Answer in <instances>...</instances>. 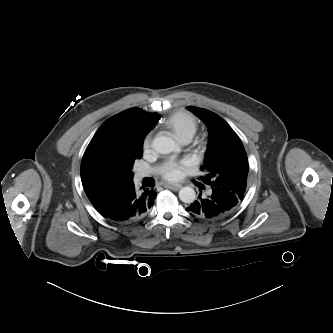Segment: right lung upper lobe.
Segmentation results:
<instances>
[{
  "label": "right lung upper lobe",
  "instance_id": "right-lung-upper-lobe-1",
  "mask_svg": "<svg viewBox=\"0 0 333 333\" xmlns=\"http://www.w3.org/2000/svg\"><path fill=\"white\" fill-rule=\"evenodd\" d=\"M159 119L156 113H148L138 108L128 109L108 119L95 133L90 144L93 145L101 136L118 132L131 133L143 141Z\"/></svg>",
  "mask_w": 333,
  "mask_h": 333
}]
</instances>
